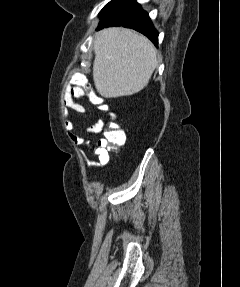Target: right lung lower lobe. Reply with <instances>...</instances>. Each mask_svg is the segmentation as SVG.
<instances>
[{
    "label": "right lung lower lobe",
    "mask_w": 240,
    "mask_h": 287,
    "mask_svg": "<svg viewBox=\"0 0 240 287\" xmlns=\"http://www.w3.org/2000/svg\"><path fill=\"white\" fill-rule=\"evenodd\" d=\"M123 26L132 28L147 36L156 46L158 33L153 27L147 12L132 0H112L101 14L97 28Z\"/></svg>",
    "instance_id": "obj_1"
}]
</instances>
